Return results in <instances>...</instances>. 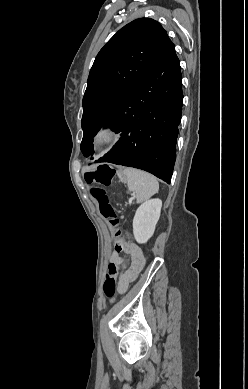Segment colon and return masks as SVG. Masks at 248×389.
I'll use <instances>...</instances> for the list:
<instances>
[{"label":"colon","instance_id":"obj_1","mask_svg":"<svg viewBox=\"0 0 248 389\" xmlns=\"http://www.w3.org/2000/svg\"><path fill=\"white\" fill-rule=\"evenodd\" d=\"M109 163L107 161H102L100 166L92 169L91 171L86 173V181L87 183L94 185L93 194L95 198L98 200L100 205V211L102 215L106 218L113 219L114 226L117 227V231L115 236L118 238L115 243V250L122 251L124 240L120 239V229H119V220L115 218V213L110 205L107 195L105 193L104 187H108L113 178L115 176L114 171L108 167ZM119 266L111 263L108 267V272L106 274V278L103 285V291L107 298L111 299L118 292V283L116 280L118 274Z\"/></svg>","mask_w":248,"mask_h":389}]
</instances>
